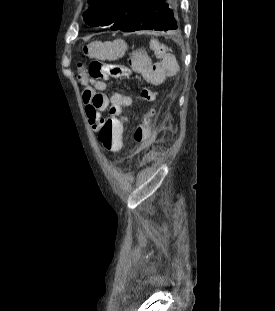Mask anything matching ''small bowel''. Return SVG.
<instances>
[{"instance_id":"1","label":"small bowel","mask_w":275,"mask_h":311,"mask_svg":"<svg viewBox=\"0 0 275 311\" xmlns=\"http://www.w3.org/2000/svg\"><path fill=\"white\" fill-rule=\"evenodd\" d=\"M150 46L155 49L150 50V57L154 64H151V60L140 53H135L128 60V67L135 72H140L141 80H149L150 87H165V80H175L176 76L180 75L179 56L166 55L168 47L160 46L156 39L150 40ZM103 53H106L107 57H124L125 54L121 41L105 43ZM82 81L85 82L83 102L86 105L89 123L94 131H98L103 123L102 114L105 110H108L110 118H127L125 111L132 105V97L129 94L113 92L105 95L102 92L106 88L103 81L84 78ZM158 106L159 103L155 102L154 106L146 109V115H142V122H136L130 134L133 143L154 142L158 131L157 119L154 116L158 114ZM162 110L166 111L167 107L163 106ZM105 117H108V114H105ZM119 131L122 133L123 130Z\"/></svg>"}]
</instances>
